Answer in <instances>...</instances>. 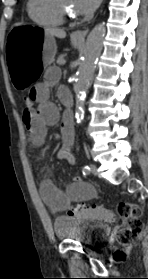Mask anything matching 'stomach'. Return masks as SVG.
Segmentation results:
<instances>
[{
    "label": "stomach",
    "instance_id": "obj_1",
    "mask_svg": "<svg viewBox=\"0 0 148 279\" xmlns=\"http://www.w3.org/2000/svg\"><path fill=\"white\" fill-rule=\"evenodd\" d=\"M6 69L10 82H14L13 91H31L35 82L45 75L46 67L54 60L56 47L54 38L46 34L42 25H13V30H7ZM74 46L78 42L72 40Z\"/></svg>",
    "mask_w": 148,
    "mask_h": 279
}]
</instances>
